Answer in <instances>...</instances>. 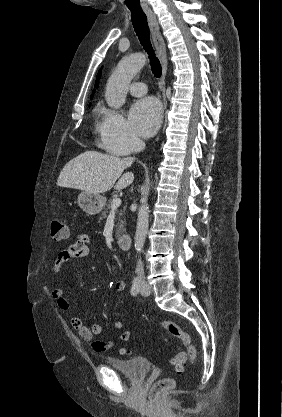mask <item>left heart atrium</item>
<instances>
[{
    "mask_svg": "<svg viewBox=\"0 0 282 417\" xmlns=\"http://www.w3.org/2000/svg\"><path fill=\"white\" fill-rule=\"evenodd\" d=\"M162 110L154 98H146L135 103L129 113L132 128L142 135L153 133L161 120Z\"/></svg>",
    "mask_w": 282,
    "mask_h": 417,
    "instance_id": "1",
    "label": "left heart atrium"
}]
</instances>
